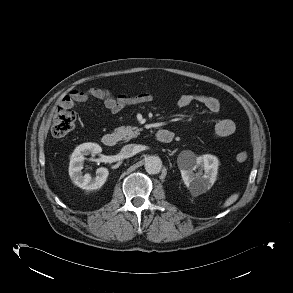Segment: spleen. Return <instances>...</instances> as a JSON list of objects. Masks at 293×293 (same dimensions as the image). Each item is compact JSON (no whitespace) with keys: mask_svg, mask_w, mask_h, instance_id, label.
<instances>
[{"mask_svg":"<svg viewBox=\"0 0 293 293\" xmlns=\"http://www.w3.org/2000/svg\"><path fill=\"white\" fill-rule=\"evenodd\" d=\"M238 199V194L231 195L224 203V207L232 205Z\"/></svg>","mask_w":293,"mask_h":293,"instance_id":"obj_1","label":"spleen"}]
</instances>
